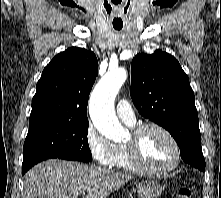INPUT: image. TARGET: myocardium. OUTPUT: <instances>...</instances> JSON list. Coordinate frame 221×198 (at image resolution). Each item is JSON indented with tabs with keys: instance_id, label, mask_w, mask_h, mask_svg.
<instances>
[{
	"instance_id": "f54148a6",
	"label": "myocardium",
	"mask_w": 221,
	"mask_h": 198,
	"mask_svg": "<svg viewBox=\"0 0 221 198\" xmlns=\"http://www.w3.org/2000/svg\"><path fill=\"white\" fill-rule=\"evenodd\" d=\"M148 129H156L162 132L172 143L174 148V159L172 163L161 169L148 167L141 159L139 153V141L141 135ZM129 159L132 165L140 172L154 176H162L176 169L181 161V148L175 136L163 125L156 122H146L135 126L130 135V139L125 144Z\"/></svg>"
}]
</instances>
